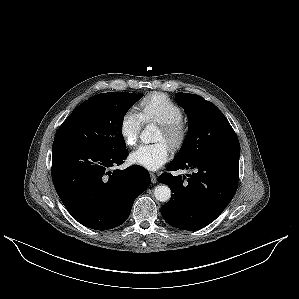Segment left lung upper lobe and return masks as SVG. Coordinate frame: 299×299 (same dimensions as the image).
<instances>
[{
    "label": "left lung upper lobe",
    "instance_id": "obj_1",
    "mask_svg": "<svg viewBox=\"0 0 299 299\" xmlns=\"http://www.w3.org/2000/svg\"><path fill=\"white\" fill-rule=\"evenodd\" d=\"M175 100L189 117V131L175 161L198 157L217 145L237 138L226 117L213 103L201 96L181 92L176 93Z\"/></svg>",
    "mask_w": 299,
    "mask_h": 299
}]
</instances>
